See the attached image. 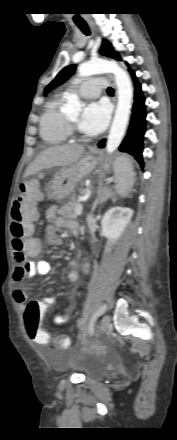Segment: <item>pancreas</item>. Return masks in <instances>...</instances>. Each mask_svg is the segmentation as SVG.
Returning <instances> with one entry per match:
<instances>
[{
    "label": "pancreas",
    "mask_w": 177,
    "mask_h": 440,
    "mask_svg": "<svg viewBox=\"0 0 177 440\" xmlns=\"http://www.w3.org/2000/svg\"><path fill=\"white\" fill-rule=\"evenodd\" d=\"M86 191L83 190L82 193H85ZM79 206V201L76 200L75 195L72 196V200L64 205L61 209L58 210V214L62 216L63 218L67 219H76L77 215L75 214V210Z\"/></svg>",
    "instance_id": "obj_1"
}]
</instances>
